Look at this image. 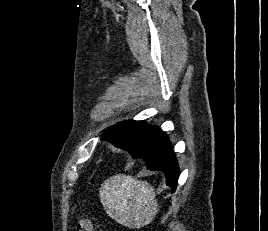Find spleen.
<instances>
[{
  "label": "spleen",
  "mask_w": 268,
  "mask_h": 231,
  "mask_svg": "<svg viewBox=\"0 0 268 231\" xmlns=\"http://www.w3.org/2000/svg\"><path fill=\"white\" fill-rule=\"evenodd\" d=\"M99 197L108 216L129 228L150 224L158 212L154 188L132 176L117 174L105 180Z\"/></svg>",
  "instance_id": "1"
}]
</instances>
